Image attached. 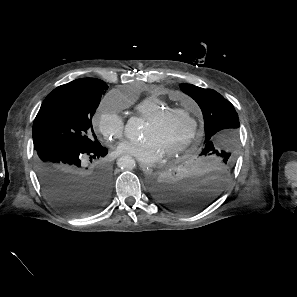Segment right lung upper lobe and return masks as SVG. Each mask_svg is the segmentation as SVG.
<instances>
[{"instance_id":"obj_1","label":"right lung upper lobe","mask_w":297,"mask_h":297,"mask_svg":"<svg viewBox=\"0 0 297 297\" xmlns=\"http://www.w3.org/2000/svg\"><path fill=\"white\" fill-rule=\"evenodd\" d=\"M100 80L95 78H82L75 80L76 83H98Z\"/></svg>"}]
</instances>
